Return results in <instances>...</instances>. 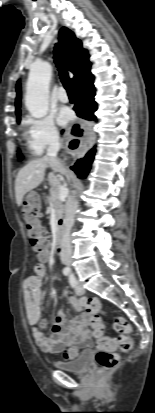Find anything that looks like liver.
Returning <instances> with one entry per match:
<instances>
[{
  "instance_id": "1",
  "label": "liver",
  "mask_w": 155,
  "mask_h": 413,
  "mask_svg": "<svg viewBox=\"0 0 155 413\" xmlns=\"http://www.w3.org/2000/svg\"><path fill=\"white\" fill-rule=\"evenodd\" d=\"M48 167L52 168L54 172H60L57 167L50 165L46 157L31 160L18 172L15 180V197L18 206H21L23 197L27 192L35 189L43 182L45 170Z\"/></svg>"
}]
</instances>
